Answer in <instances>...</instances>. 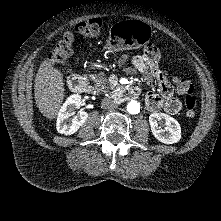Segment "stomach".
I'll return each instance as SVG.
<instances>
[{
    "mask_svg": "<svg viewBox=\"0 0 221 221\" xmlns=\"http://www.w3.org/2000/svg\"><path fill=\"white\" fill-rule=\"evenodd\" d=\"M149 37L150 31L144 22L127 20L112 28L106 47L112 51H136L147 44Z\"/></svg>",
    "mask_w": 221,
    "mask_h": 221,
    "instance_id": "0dacf381",
    "label": "stomach"
}]
</instances>
